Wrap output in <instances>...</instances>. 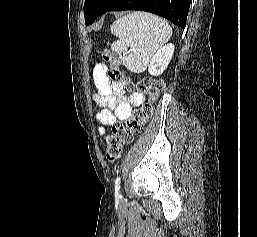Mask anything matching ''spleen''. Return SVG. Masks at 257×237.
Wrapping results in <instances>:
<instances>
[{
	"instance_id": "3e777b00",
	"label": "spleen",
	"mask_w": 257,
	"mask_h": 237,
	"mask_svg": "<svg viewBox=\"0 0 257 237\" xmlns=\"http://www.w3.org/2000/svg\"><path fill=\"white\" fill-rule=\"evenodd\" d=\"M111 33L119 38L112 43L111 50L119 55L127 69L141 73L170 39L172 28L160 17L133 12L116 20L111 26ZM128 47L131 52H127Z\"/></svg>"
}]
</instances>
